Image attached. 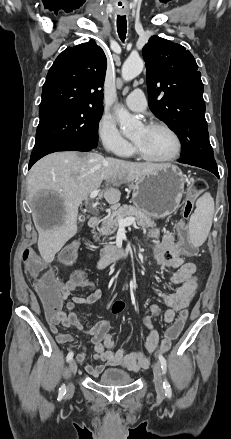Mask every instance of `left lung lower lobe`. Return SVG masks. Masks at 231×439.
<instances>
[{
  "label": "left lung lower lobe",
  "mask_w": 231,
  "mask_h": 439,
  "mask_svg": "<svg viewBox=\"0 0 231 439\" xmlns=\"http://www.w3.org/2000/svg\"><path fill=\"white\" fill-rule=\"evenodd\" d=\"M180 163H184V164H189L192 166H196V167H200L203 169H206L210 172H212L213 174H215L218 178H219V173H218V168L217 166H211L209 164L203 163V162H199V161H187V162H181L179 160Z\"/></svg>",
  "instance_id": "0a47b994"
}]
</instances>
